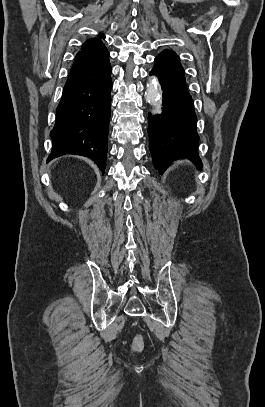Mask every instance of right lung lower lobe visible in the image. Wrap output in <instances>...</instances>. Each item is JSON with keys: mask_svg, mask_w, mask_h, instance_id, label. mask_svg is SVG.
Masks as SVG:
<instances>
[{"mask_svg": "<svg viewBox=\"0 0 265 407\" xmlns=\"http://www.w3.org/2000/svg\"><path fill=\"white\" fill-rule=\"evenodd\" d=\"M109 53L76 63L56 110L48 161L65 155L89 157L104 173L111 106Z\"/></svg>", "mask_w": 265, "mask_h": 407, "instance_id": "98d812e1", "label": "right lung lower lobe"}]
</instances>
